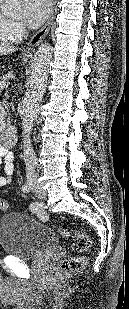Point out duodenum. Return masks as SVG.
<instances>
[{
    "mask_svg": "<svg viewBox=\"0 0 129 309\" xmlns=\"http://www.w3.org/2000/svg\"><path fill=\"white\" fill-rule=\"evenodd\" d=\"M3 142L6 147H12L17 140V129L14 126H8L3 132Z\"/></svg>",
    "mask_w": 129,
    "mask_h": 309,
    "instance_id": "obj_1",
    "label": "duodenum"
}]
</instances>
